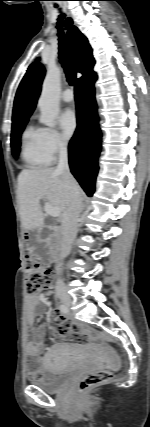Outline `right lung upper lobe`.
I'll return each instance as SVG.
<instances>
[{"label":"right lung upper lobe","mask_w":150,"mask_h":427,"mask_svg":"<svg viewBox=\"0 0 150 427\" xmlns=\"http://www.w3.org/2000/svg\"><path fill=\"white\" fill-rule=\"evenodd\" d=\"M67 38L76 69L83 74L77 81L94 76L93 66L95 61L87 38L75 26L68 31ZM44 75L45 69L40 63L34 62L29 66L15 96L13 123L28 119L32 114L41 91Z\"/></svg>","instance_id":"1"}]
</instances>
